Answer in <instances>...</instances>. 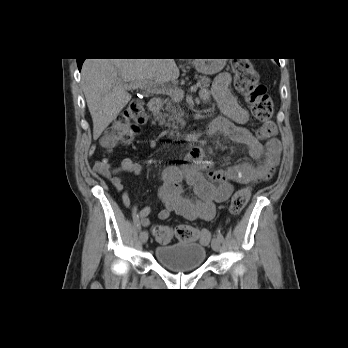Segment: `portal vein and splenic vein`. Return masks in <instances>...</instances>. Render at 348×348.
Wrapping results in <instances>:
<instances>
[{"label":"portal vein and splenic vein","instance_id":"1","mask_svg":"<svg viewBox=\"0 0 348 348\" xmlns=\"http://www.w3.org/2000/svg\"><path fill=\"white\" fill-rule=\"evenodd\" d=\"M125 87L127 88H133V89H145L150 92H156L159 94H166L172 97L176 101H180L184 97V91L180 88L170 86V85H165L161 83H156L153 81H148V80H139V81H134L130 83H126ZM198 89V86L194 85L190 87V92H196Z\"/></svg>","mask_w":348,"mask_h":348}]
</instances>
